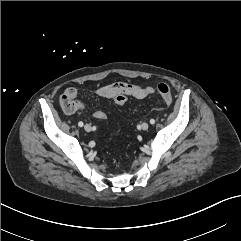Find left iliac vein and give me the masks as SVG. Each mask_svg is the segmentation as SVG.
<instances>
[{"instance_id": "left-iliac-vein-1", "label": "left iliac vein", "mask_w": 241, "mask_h": 241, "mask_svg": "<svg viewBox=\"0 0 241 241\" xmlns=\"http://www.w3.org/2000/svg\"><path fill=\"white\" fill-rule=\"evenodd\" d=\"M142 130H147L149 128V124L147 122H144L141 124Z\"/></svg>"}]
</instances>
